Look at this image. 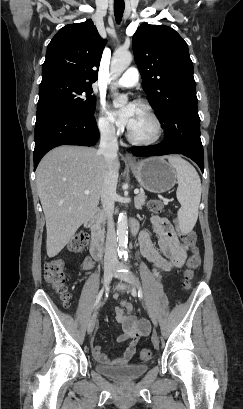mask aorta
<instances>
[{
    "instance_id": "762f6f07",
    "label": "aorta",
    "mask_w": 243,
    "mask_h": 409,
    "mask_svg": "<svg viewBox=\"0 0 243 409\" xmlns=\"http://www.w3.org/2000/svg\"><path fill=\"white\" fill-rule=\"evenodd\" d=\"M132 61V54L129 51H116L111 61V79L119 77L123 71L130 65ZM111 92L114 96L113 106L122 107L127 101V95H121L117 92L115 86H111ZM128 220L126 213L119 214L117 222V243H118V255L120 257L127 255V241H128Z\"/></svg>"
}]
</instances>
